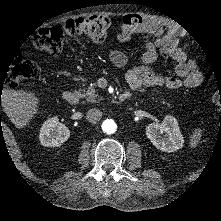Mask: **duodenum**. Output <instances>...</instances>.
Returning <instances> with one entry per match:
<instances>
[{"label":"duodenum","mask_w":221,"mask_h":221,"mask_svg":"<svg viewBox=\"0 0 221 221\" xmlns=\"http://www.w3.org/2000/svg\"><path fill=\"white\" fill-rule=\"evenodd\" d=\"M128 97L129 94L127 92H124L119 96V100L124 101ZM63 99L70 104H76L80 100V94L76 91H65L63 93Z\"/></svg>","instance_id":"410a0bca"}]
</instances>
